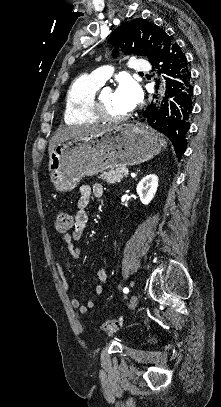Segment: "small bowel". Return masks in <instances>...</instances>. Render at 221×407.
Masks as SVG:
<instances>
[{"label": "small bowel", "instance_id": "obj_1", "mask_svg": "<svg viewBox=\"0 0 221 407\" xmlns=\"http://www.w3.org/2000/svg\"><path fill=\"white\" fill-rule=\"evenodd\" d=\"M92 194H94L96 197H102L105 194V189L102 185L100 184H94V185H89L85 184L80 188V195L77 200V211L75 213V216L73 218V225H72V231L70 234H64L61 236L60 240L62 242V247L61 250L66 248L70 255L73 258H79L81 254L80 248L75 244L76 241H78L87 226L88 222V213H87V208L91 199ZM104 261L106 262V258H103ZM58 272L59 275L62 279L63 282V287L66 291H68V284L65 281V277L63 274V270L61 265H58ZM96 277L98 280V284L95 286V294L101 295L104 292V284L108 280V274L105 268H100L96 272ZM71 306L78 310L80 313H86L88 310L94 308L95 306V301L94 300H89L87 301L86 304H82L79 298L73 297L71 299Z\"/></svg>", "mask_w": 221, "mask_h": 407}]
</instances>
